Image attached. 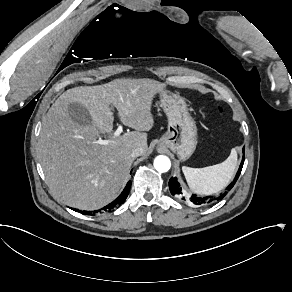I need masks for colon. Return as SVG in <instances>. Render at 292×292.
I'll use <instances>...</instances> for the list:
<instances>
[{
  "instance_id": "colon-1",
  "label": "colon",
  "mask_w": 292,
  "mask_h": 292,
  "mask_svg": "<svg viewBox=\"0 0 292 292\" xmlns=\"http://www.w3.org/2000/svg\"><path fill=\"white\" fill-rule=\"evenodd\" d=\"M215 109H216V112L218 114H222L223 113V107L221 105H219V104L216 105Z\"/></svg>"
}]
</instances>
